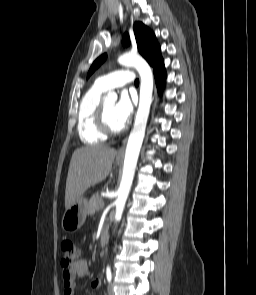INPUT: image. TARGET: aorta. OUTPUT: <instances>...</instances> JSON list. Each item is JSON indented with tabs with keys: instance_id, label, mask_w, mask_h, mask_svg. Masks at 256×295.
Listing matches in <instances>:
<instances>
[{
	"instance_id": "aorta-1",
	"label": "aorta",
	"mask_w": 256,
	"mask_h": 295,
	"mask_svg": "<svg viewBox=\"0 0 256 295\" xmlns=\"http://www.w3.org/2000/svg\"><path fill=\"white\" fill-rule=\"evenodd\" d=\"M118 63L128 67H134L141 78L140 100L137 110L134 127L130 133L123 165L122 179L118 189V197L115 201V220L121 219L128 194L132 185L139 152L145 135L147 119L152 102L153 74L148 63L138 54L125 53L118 58ZM117 94L109 92L105 97V102H115Z\"/></svg>"
}]
</instances>
